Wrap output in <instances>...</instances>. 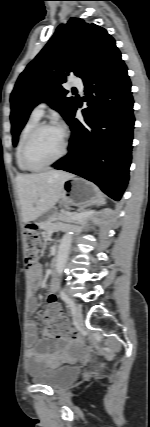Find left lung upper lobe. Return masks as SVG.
<instances>
[{
  "instance_id": "5c2ea615",
  "label": "left lung upper lobe",
  "mask_w": 150,
  "mask_h": 427,
  "mask_svg": "<svg viewBox=\"0 0 150 427\" xmlns=\"http://www.w3.org/2000/svg\"><path fill=\"white\" fill-rule=\"evenodd\" d=\"M116 48L107 31L80 18H70L58 26L47 45L19 76L11 94V132L13 144L18 142L31 110L40 102L50 106L69 120L75 106L62 87L70 73L87 79L97 66Z\"/></svg>"
}]
</instances>
